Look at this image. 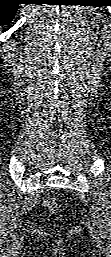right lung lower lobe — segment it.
Returning <instances> with one entry per match:
<instances>
[{
	"instance_id": "1",
	"label": "right lung lower lobe",
	"mask_w": 111,
	"mask_h": 257,
	"mask_svg": "<svg viewBox=\"0 0 111 257\" xmlns=\"http://www.w3.org/2000/svg\"><path fill=\"white\" fill-rule=\"evenodd\" d=\"M21 3H23L22 0H0V24L9 23Z\"/></svg>"
}]
</instances>
